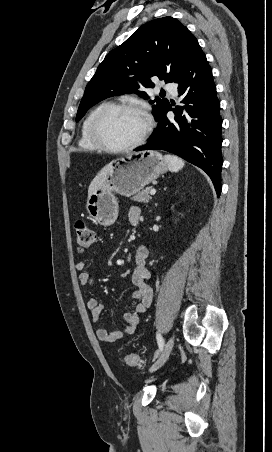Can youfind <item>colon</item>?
<instances>
[{"label": "colon", "mask_w": 272, "mask_h": 452, "mask_svg": "<svg viewBox=\"0 0 272 452\" xmlns=\"http://www.w3.org/2000/svg\"><path fill=\"white\" fill-rule=\"evenodd\" d=\"M74 230L76 234L77 249L80 252L90 250L95 243V233L83 220L75 222ZM124 363L128 366L140 367L143 365L141 356L135 353H127L124 356Z\"/></svg>", "instance_id": "obj_1"}]
</instances>
